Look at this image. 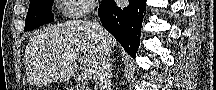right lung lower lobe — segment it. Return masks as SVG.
<instances>
[{
	"mask_svg": "<svg viewBox=\"0 0 216 90\" xmlns=\"http://www.w3.org/2000/svg\"><path fill=\"white\" fill-rule=\"evenodd\" d=\"M145 10L146 2L143 0L129 1L126 7H119L114 1H102L99 7L102 25L133 58L140 44L141 23Z\"/></svg>",
	"mask_w": 216,
	"mask_h": 90,
	"instance_id": "right-lung-lower-lobe-1",
	"label": "right lung lower lobe"
}]
</instances>
